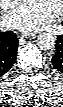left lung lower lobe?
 I'll use <instances>...</instances> for the list:
<instances>
[{
  "mask_svg": "<svg viewBox=\"0 0 63 107\" xmlns=\"http://www.w3.org/2000/svg\"><path fill=\"white\" fill-rule=\"evenodd\" d=\"M52 65L63 73V35H59L56 41V53L52 57Z\"/></svg>",
  "mask_w": 63,
  "mask_h": 107,
  "instance_id": "obj_1",
  "label": "left lung lower lobe"
}]
</instances>
